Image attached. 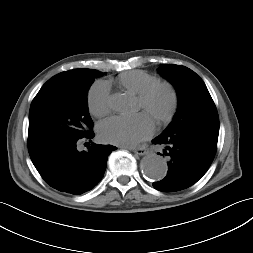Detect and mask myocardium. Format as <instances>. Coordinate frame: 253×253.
<instances>
[{
  "mask_svg": "<svg viewBox=\"0 0 253 253\" xmlns=\"http://www.w3.org/2000/svg\"><path fill=\"white\" fill-rule=\"evenodd\" d=\"M162 90L166 91L169 95V107L164 115L156 118L155 120L158 124H167L173 119L179 107V94L172 83L167 81H158L141 92L138 95V99L143 107L146 108L152 98Z\"/></svg>",
  "mask_w": 253,
  "mask_h": 253,
  "instance_id": "f54148a6",
  "label": "myocardium"
}]
</instances>
